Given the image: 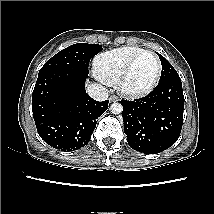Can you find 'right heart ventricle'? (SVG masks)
<instances>
[{
	"instance_id": "obj_1",
	"label": "right heart ventricle",
	"mask_w": 214,
	"mask_h": 214,
	"mask_svg": "<svg viewBox=\"0 0 214 214\" xmlns=\"http://www.w3.org/2000/svg\"><path fill=\"white\" fill-rule=\"evenodd\" d=\"M144 50L138 46H126L98 55L94 61L97 76L108 84L116 83L129 61Z\"/></svg>"
}]
</instances>
